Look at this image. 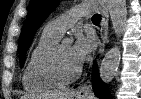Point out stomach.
<instances>
[{
	"instance_id": "0dacf381",
	"label": "stomach",
	"mask_w": 141,
	"mask_h": 99,
	"mask_svg": "<svg viewBox=\"0 0 141 99\" xmlns=\"http://www.w3.org/2000/svg\"><path fill=\"white\" fill-rule=\"evenodd\" d=\"M76 99H88V98L85 96H77Z\"/></svg>"
}]
</instances>
